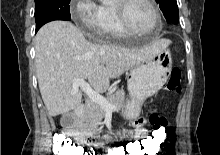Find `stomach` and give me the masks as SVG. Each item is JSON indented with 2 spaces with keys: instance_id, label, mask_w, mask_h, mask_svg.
I'll use <instances>...</instances> for the list:
<instances>
[{
  "instance_id": "1",
  "label": "stomach",
  "mask_w": 220,
  "mask_h": 155,
  "mask_svg": "<svg viewBox=\"0 0 220 155\" xmlns=\"http://www.w3.org/2000/svg\"><path fill=\"white\" fill-rule=\"evenodd\" d=\"M172 65L171 52L166 46L152 59L135 66L128 79L130 100L127 102L124 116L136 118L145 100L157 94L166 84Z\"/></svg>"
}]
</instances>
